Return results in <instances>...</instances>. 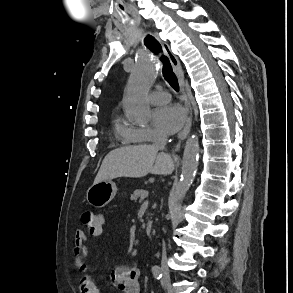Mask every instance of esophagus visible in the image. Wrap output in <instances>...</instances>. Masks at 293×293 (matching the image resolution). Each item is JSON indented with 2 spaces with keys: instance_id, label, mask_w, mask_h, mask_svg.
Returning a JSON list of instances; mask_svg holds the SVG:
<instances>
[{
  "instance_id": "1",
  "label": "esophagus",
  "mask_w": 293,
  "mask_h": 293,
  "mask_svg": "<svg viewBox=\"0 0 293 293\" xmlns=\"http://www.w3.org/2000/svg\"><path fill=\"white\" fill-rule=\"evenodd\" d=\"M154 36L161 43L164 52L166 53V55L168 56V58L170 60L172 67H173L175 73L177 74L180 90L184 96L185 107H186L188 117H187V121H186V124H185L183 130L180 132V134L178 136L180 140H183L188 135V133L191 129V124H192V109H191V104H190V102L187 98L186 92H185L184 74H183L179 59L171 51L169 45L160 39L158 33L155 32Z\"/></svg>"
}]
</instances>
